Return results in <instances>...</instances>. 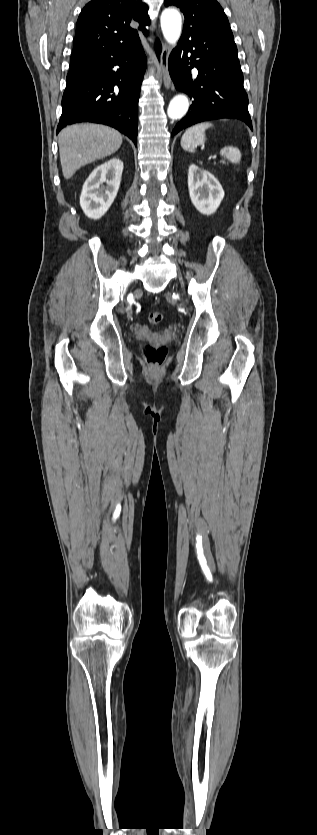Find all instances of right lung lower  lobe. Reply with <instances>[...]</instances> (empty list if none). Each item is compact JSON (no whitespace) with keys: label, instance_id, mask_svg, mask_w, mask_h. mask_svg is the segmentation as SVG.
Returning a JSON list of instances; mask_svg holds the SVG:
<instances>
[{"label":"right lung lower lobe","instance_id":"1","mask_svg":"<svg viewBox=\"0 0 317 835\" xmlns=\"http://www.w3.org/2000/svg\"><path fill=\"white\" fill-rule=\"evenodd\" d=\"M157 55L161 45L157 41ZM146 68L140 39L117 50L73 52L57 133L78 122L109 125L137 144L138 100Z\"/></svg>","mask_w":317,"mask_h":835}]
</instances>
